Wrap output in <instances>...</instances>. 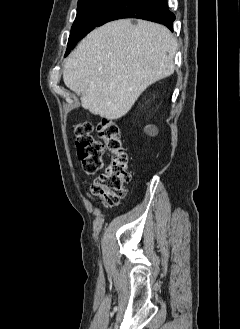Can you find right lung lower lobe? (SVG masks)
Masks as SVG:
<instances>
[{
    "label": "right lung lower lobe",
    "mask_w": 240,
    "mask_h": 329,
    "mask_svg": "<svg viewBox=\"0 0 240 329\" xmlns=\"http://www.w3.org/2000/svg\"><path fill=\"white\" fill-rule=\"evenodd\" d=\"M121 18L149 20L173 30L175 15L168 10L167 0H120L96 26Z\"/></svg>",
    "instance_id": "right-lung-lower-lobe-1"
}]
</instances>
